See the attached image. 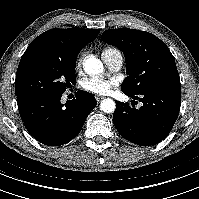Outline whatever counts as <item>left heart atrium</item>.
Listing matches in <instances>:
<instances>
[{
    "instance_id": "left-heart-atrium-1",
    "label": "left heart atrium",
    "mask_w": 199,
    "mask_h": 199,
    "mask_svg": "<svg viewBox=\"0 0 199 199\" xmlns=\"http://www.w3.org/2000/svg\"><path fill=\"white\" fill-rule=\"evenodd\" d=\"M116 85V80L103 77H90L85 79L81 84L85 91L96 95H107Z\"/></svg>"
}]
</instances>
